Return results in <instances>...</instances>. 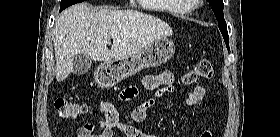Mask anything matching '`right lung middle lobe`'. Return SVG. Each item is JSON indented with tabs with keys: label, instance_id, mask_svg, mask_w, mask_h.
I'll use <instances>...</instances> for the list:
<instances>
[{
	"label": "right lung middle lobe",
	"instance_id": "obj_1",
	"mask_svg": "<svg viewBox=\"0 0 280 137\" xmlns=\"http://www.w3.org/2000/svg\"><path fill=\"white\" fill-rule=\"evenodd\" d=\"M84 0H61V5H60V11L64 10L65 8L76 4V3H80Z\"/></svg>",
	"mask_w": 280,
	"mask_h": 137
}]
</instances>
